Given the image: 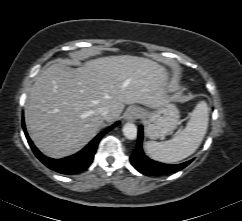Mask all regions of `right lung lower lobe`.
I'll return each instance as SVG.
<instances>
[{
    "instance_id": "98d812e1",
    "label": "right lung lower lobe",
    "mask_w": 242,
    "mask_h": 221,
    "mask_svg": "<svg viewBox=\"0 0 242 221\" xmlns=\"http://www.w3.org/2000/svg\"><path fill=\"white\" fill-rule=\"evenodd\" d=\"M118 124H119V122H116L111 127L107 128L106 130L101 132L84 149H82L78 153H76L72 156L63 158V159H59V160L45 157L33 145L32 141L30 140V138L26 132L24 122H23V130L25 132L26 138L28 140V143H29L32 151L43 164H45L48 168H50L51 170H54L58 173L71 175V174H76L78 172L85 170L91 164L100 139L103 137V135H105L112 128L116 127Z\"/></svg>"
}]
</instances>
